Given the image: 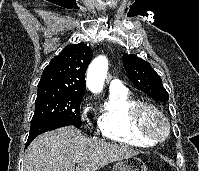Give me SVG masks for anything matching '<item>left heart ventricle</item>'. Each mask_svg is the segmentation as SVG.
Segmentation results:
<instances>
[{
  "label": "left heart ventricle",
  "instance_id": "obj_1",
  "mask_svg": "<svg viewBox=\"0 0 199 171\" xmlns=\"http://www.w3.org/2000/svg\"><path fill=\"white\" fill-rule=\"evenodd\" d=\"M148 121L150 125L156 129H160L162 127V123L160 122L159 118L153 114L149 115Z\"/></svg>",
  "mask_w": 199,
  "mask_h": 171
}]
</instances>
